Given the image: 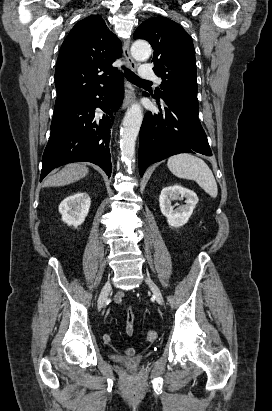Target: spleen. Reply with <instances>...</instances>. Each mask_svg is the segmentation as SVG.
Returning <instances> with one entry per match:
<instances>
[{
  "mask_svg": "<svg viewBox=\"0 0 272 411\" xmlns=\"http://www.w3.org/2000/svg\"><path fill=\"white\" fill-rule=\"evenodd\" d=\"M169 170L178 178L194 180L212 198L218 194L217 183L209 166L191 154H177L167 161Z\"/></svg>",
  "mask_w": 272,
  "mask_h": 411,
  "instance_id": "obj_1",
  "label": "spleen"
}]
</instances>
